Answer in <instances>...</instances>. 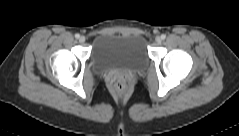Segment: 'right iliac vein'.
I'll return each mask as SVG.
<instances>
[{"label":"right iliac vein","instance_id":"right-iliac-vein-1","mask_svg":"<svg viewBox=\"0 0 239 136\" xmlns=\"http://www.w3.org/2000/svg\"><path fill=\"white\" fill-rule=\"evenodd\" d=\"M86 41V38L84 36L79 37V42L84 43Z\"/></svg>","mask_w":239,"mask_h":136}]
</instances>
